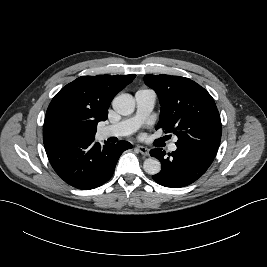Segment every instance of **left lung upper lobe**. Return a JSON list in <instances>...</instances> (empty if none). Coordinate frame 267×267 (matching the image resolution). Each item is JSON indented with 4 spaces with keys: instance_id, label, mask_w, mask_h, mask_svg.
Masks as SVG:
<instances>
[{
    "instance_id": "5c2ea615",
    "label": "left lung upper lobe",
    "mask_w": 267,
    "mask_h": 267,
    "mask_svg": "<svg viewBox=\"0 0 267 267\" xmlns=\"http://www.w3.org/2000/svg\"><path fill=\"white\" fill-rule=\"evenodd\" d=\"M144 82L161 104L156 129L177 135L178 146L218 148L221 120L212 96L191 79L170 75H145Z\"/></svg>"
}]
</instances>
